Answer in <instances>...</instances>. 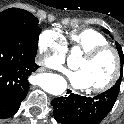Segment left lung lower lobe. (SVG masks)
Returning <instances> with one entry per match:
<instances>
[{
  "label": "left lung lower lobe",
  "mask_w": 124,
  "mask_h": 124,
  "mask_svg": "<svg viewBox=\"0 0 124 124\" xmlns=\"http://www.w3.org/2000/svg\"><path fill=\"white\" fill-rule=\"evenodd\" d=\"M119 88L111 89L94 97L71 93L52 100L53 115L61 124H99L111 111Z\"/></svg>",
  "instance_id": "obj_1"
}]
</instances>
